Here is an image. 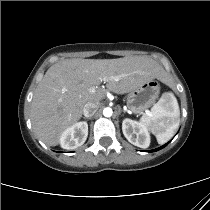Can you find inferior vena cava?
I'll list each match as a JSON object with an SVG mask.
<instances>
[{"label": "inferior vena cava", "instance_id": "inferior-vena-cava-1", "mask_svg": "<svg viewBox=\"0 0 210 210\" xmlns=\"http://www.w3.org/2000/svg\"><path fill=\"white\" fill-rule=\"evenodd\" d=\"M99 105L96 102H88L83 108V114L85 117H91L97 111Z\"/></svg>", "mask_w": 210, "mask_h": 210}]
</instances>
